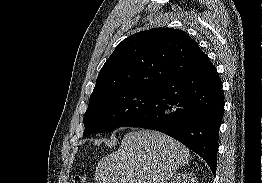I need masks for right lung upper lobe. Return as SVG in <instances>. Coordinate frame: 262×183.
Masks as SVG:
<instances>
[{"mask_svg": "<svg viewBox=\"0 0 262 183\" xmlns=\"http://www.w3.org/2000/svg\"><path fill=\"white\" fill-rule=\"evenodd\" d=\"M208 62V56L182 30L142 31L116 47L100 70L90 99L124 89H158Z\"/></svg>", "mask_w": 262, "mask_h": 183, "instance_id": "1", "label": "right lung upper lobe"}]
</instances>
